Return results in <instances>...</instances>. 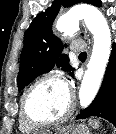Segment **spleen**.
I'll list each match as a JSON object with an SVG mask.
<instances>
[{"instance_id": "obj_1", "label": "spleen", "mask_w": 116, "mask_h": 134, "mask_svg": "<svg viewBox=\"0 0 116 134\" xmlns=\"http://www.w3.org/2000/svg\"><path fill=\"white\" fill-rule=\"evenodd\" d=\"M90 124L92 125L93 128H99V122L94 120V121H90Z\"/></svg>"}]
</instances>
